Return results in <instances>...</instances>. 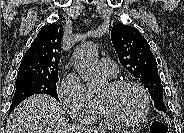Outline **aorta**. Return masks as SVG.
Wrapping results in <instances>:
<instances>
[{"mask_svg": "<svg viewBox=\"0 0 184 133\" xmlns=\"http://www.w3.org/2000/svg\"><path fill=\"white\" fill-rule=\"evenodd\" d=\"M76 70L86 87L91 91L101 88L104 77L98 69V49L94 42L87 41L76 47L74 51Z\"/></svg>", "mask_w": 184, "mask_h": 133, "instance_id": "1", "label": "aorta"}]
</instances>
